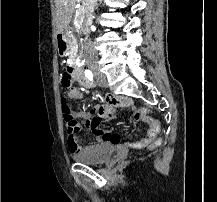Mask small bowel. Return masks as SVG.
I'll return each instance as SVG.
<instances>
[{"label":"small bowel","instance_id":"obj_1","mask_svg":"<svg viewBox=\"0 0 217 202\" xmlns=\"http://www.w3.org/2000/svg\"><path fill=\"white\" fill-rule=\"evenodd\" d=\"M63 89L69 90L66 93L69 99H82V91L77 88V85H64ZM130 105H132L130 100L111 101V97L105 96L102 98L101 102L96 103L90 110L75 111L73 115L75 118L84 120L85 125L92 131L95 140L120 144L123 149H142L154 142L160 133L161 126L159 121L149 116V114L137 115L138 111L136 112L135 118L136 116H141V122L146 125V135L136 142L123 141L119 135L100 127V125L111 116V109H128ZM110 119L111 121H116L117 118L116 116H111ZM80 132H82V127H77V131H69V141H80ZM70 147H81V142H70Z\"/></svg>","mask_w":217,"mask_h":202}]
</instances>
